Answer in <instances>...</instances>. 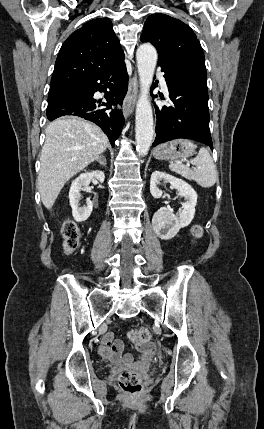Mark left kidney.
I'll use <instances>...</instances> for the list:
<instances>
[{
    "mask_svg": "<svg viewBox=\"0 0 264 429\" xmlns=\"http://www.w3.org/2000/svg\"><path fill=\"white\" fill-rule=\"evenodd\" d=\"M161 180L170 183L172 187L179 191V195L186 200V202L182 204L183 211L179 217L166 207H161L153 215L152 226L154 232L159 238L169 240L175 237L181 228L188 226L194 218L197 193L184 180L165 172L154 171L150 179V192L154 198H160L163 194L158 188Z\"/></svg>",
    "mask_w": 264,
    "mask_h": 429,
    "instance_id": "left-kidney-1",
    "label": "left kidney"
}]
</instances>
